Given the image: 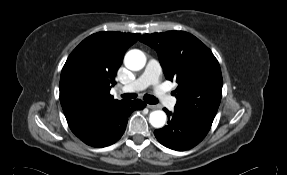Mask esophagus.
I'll return each instance as SVG.
<instances>
[{"instance_id":"obj_1","label":"esophagus","mask_w":287,"mask_h":175,"mask_svg":"<svg viewBox=\"0 0 287 175\" xmlns=\"http://www.w3.org/2000/svg\"><path fill=\"white\" fill-rule=\"evenodd\" d=\"M147 107L150 109H158L159 108L158 105H151V104H147Z\"/></svg>"}]
</instances>
